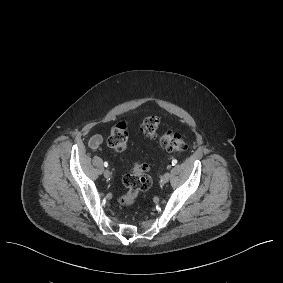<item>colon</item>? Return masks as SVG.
<instances>
[{
	"label": "colon",
	"mask_w": 283,
	"mask_h": 283,
	"mask_svg": "<svg viewBox=\"0 0 283 283\" xmlns=\"http://www.w3.org/2000/svg\"><path fill=\"white\" fill-rule=\"evenodd\" d=\"M160 120L156 115L146 116L140 125V131L146 137L156 140L159 145L173 153H180L186 149L184 137L172 130L159 132ZM129 131L126 123L115 124L108 137L110 148L119 153L126 152L128 148ZM149 165L145 162H135L131 170L124 176L123 184L126 191L119 197V203L123 207H131L140 192L147 191L152 185V179L148 174Z\"/></svg>",
	"instance_id": "1"
}]
</instances>
